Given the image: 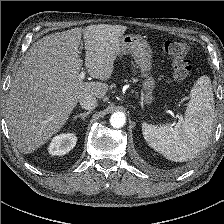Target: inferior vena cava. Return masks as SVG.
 <instances>
[{"instance_id":"inferior-vena-cava-1","label":"inferior vena cava","mask_w":224,"mask_h":224,"mask_svg":"<svg viewBox=\"0 0 224 224\" xmlns=\"http://www.w3.org/2000/svg\"><path fill=\"white\" fill-rule=\"evenodd\" d=\"M79 102L81 107L86 110L95 109L98 105L97 99L94 96H86L82 98Z\"/></svg>"}]
</instances>
